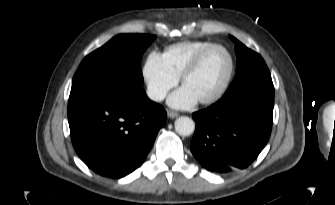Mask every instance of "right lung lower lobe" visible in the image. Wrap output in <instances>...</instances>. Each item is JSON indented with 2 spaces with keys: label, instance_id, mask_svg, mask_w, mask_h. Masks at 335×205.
Wrapping results in <instances>:
<instances>
[{
  "label": "right lung lower lobe",
  "instance_id": "right-lung-lower-lobe-1",
  "mask_svg": "<svg viewBox=\"0 0 335 205\" xmlns=\"http://www.w3.org/2000/svg\"><path fill=\"white\" fill-rule=\"evenodd\" d=\"M68 121L82 161L100 175L121 178L145 160L166 111L143 90L93 93L68 101Z\"/></svg>",
  "mask_w": 335,
  "mask_h": 205
}]
</instances>
